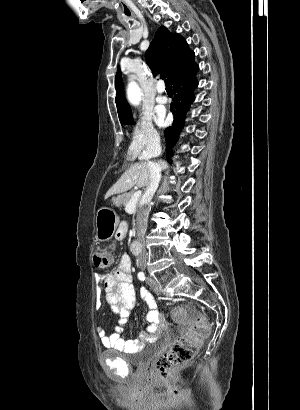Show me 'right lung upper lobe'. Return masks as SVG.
<instances>
[{"label":"right lung upper lobe","mask_w":300,"mask_h":410,"mask_svg":"<svg viewBox=\"0 0 300 410\" xmlns=\"http://www.w3.org/2000/svg\"><path fill=\"white\" fill-rule=\"evenodd\" d=\"M145 59L155 76L161 74L162 77H168L172 81L194 61V52L189 49L187 42L179 34L170 33L166 27L162 26L157 30L146 51ZM115 87L120 121L132 119L130 106L124 97L119 67L115 77Z\"/></svg>","instance_id":"right-lung-upper-lobe-1"}]
</instances>
